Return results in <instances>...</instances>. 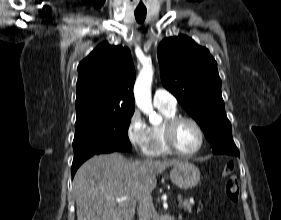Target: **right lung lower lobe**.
Listing matches in <instances>:
<instances>
[{
	"instance_id": "obj_1",
	"label": "right lung lower lobe",
	"mask_w": 281,
	"mask_h": 220,
	"mask_svg": "<svg viewBox=\"0 0 281 220\" xmlns=\"http://www.w3.org/2000/svg\"><path fill=\"white\" fill-rule=\"evenodd\" d=\"M112 152H116V150H110L104 153H100V154H106V153H112ZM93 155H96L95 153H90V154H85L83 156L74 158L73 160V164H72V168H71V172H72V177H74L75 172L77 171V169L79 168V166L86 161L88 158L92 157Z\"/></svg>"
}]
</instances>
